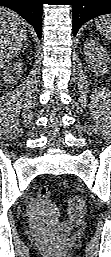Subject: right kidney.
<instances>
[{"label": "right kidney", "mask_w": 111, "mask_h": 257, "mask_svg": "<svg viewBox=\"0 0 111 257\" xmlns=\"http://www.w3.org/2000/svg\"><path fill=\"white\" fill-rule=\"evenodd\" d=\"M22 63H14L13 65L7 66L3 71V79L5 82H14L15 76L20 75Z\"/></svg>", "instance_id": "ca27d5eb"}]
</instances>
